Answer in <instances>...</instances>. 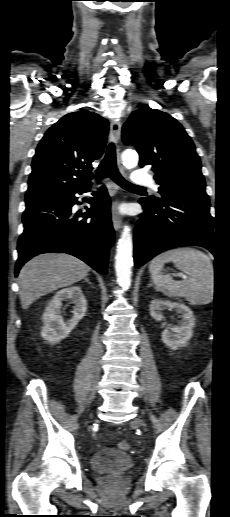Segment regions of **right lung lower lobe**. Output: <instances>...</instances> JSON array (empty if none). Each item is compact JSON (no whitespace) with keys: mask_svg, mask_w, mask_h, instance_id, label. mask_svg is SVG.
<instances>
[{"mask_svg":"<svg viewBox=\"0 0 230 517\" xmlns=\"http://www.w3.org/2000/svg\"><path fill=\"white\" fill-rule=\"evenodd\" d=\"M91 184L73 191L26 200L24 231L18 240L15 276L32 257L42 253L64 252L76 256L99 273H107L109 248L114 231L110 198L102 186L83 215L72 216L71 207L79 204L76 193L89 191ZM82 216L83 218H77Z\"/></svg>","mask_w":230,"mask_h":517,"instance_id":"1","label":"right lung lower lobe"}]
</instances>
